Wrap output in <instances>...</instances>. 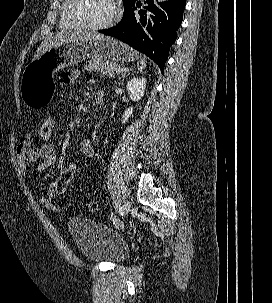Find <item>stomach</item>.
Here are the masks:
<instances>
[{"mask_svg": "<svg viewBox=\"0 0 272 303\" xmlns=\"http://www.w3.org/2000/svg\"><path fill=\"white\" fill-rule=\"evenodd\" d=\"M85 59L130 62L137 59V53L110 37L62 43L25 67L20 84L22 101L31 108L46 105L52 97L54 74Z\"/></svg>", "mask_w": 272, "mask_h": 303, "instance_id": "1", "label": "stomach"}]
</instances>
